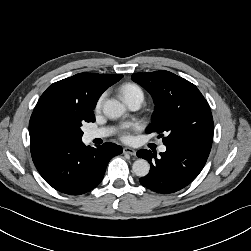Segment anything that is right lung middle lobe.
Here are the masks:
<instances>
[{
	"instance_id": "1",
	"label": "right lung middle lobe",
	"mask_w": 251,
	"mask_h": 251,
	"mask_svg": "<svg viewBox=\"0 0 251 251\" xmlns=\"http://www.w3.org/2000/svg\"><path fill=\"white\" fill-rule=\"evenodd\" d=\"M94 121L95 116L92 112L88 115L79 113L59 115L52 122L50 131L51 141L80 140L83 135V131L81 130L82 123Z\"/></svg>"
}]
</instances>
